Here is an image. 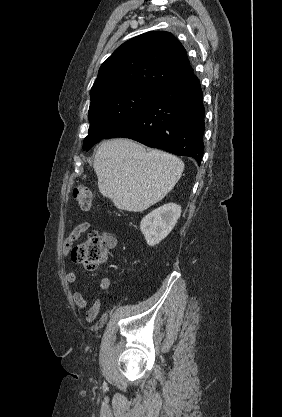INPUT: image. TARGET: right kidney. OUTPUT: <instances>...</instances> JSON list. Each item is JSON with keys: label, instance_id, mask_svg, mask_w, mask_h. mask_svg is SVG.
<instances>
[{"label": "right kidney", "instance_id": "ca27d5eb", "mask_svg": "<svg viewBox=\"0 0 282 417\" xmlns=\"http://www.w3.org/2000/svg\"><path fill=\"white\" fill-rule=\"evenodd\" d=\"M181 215V206L176 202H167L158 206V209L148 213L140 223L141 233H143L147 245L154 247L163 241L172 229H174Z\"/></svg>", "mask_w": 282, "mask_h": 417}]
</instances>
